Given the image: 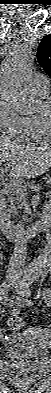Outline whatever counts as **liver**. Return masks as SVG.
<instances>
[{"instance_id": "obj_1", "label": "liver", "mask_w": 51, "mask_h": 393, "mask_svg": "<svg viewBox=\"0 0 51 393\" xmlns=\"http://www.w3.org/2000/svg\"><path fill=\"white\" fill-rule=\"evenodd\" d=\"M0 171L14 179H31L51 167V146L20 145L7 137H0Z\"/></svg>"}]
</instances>
